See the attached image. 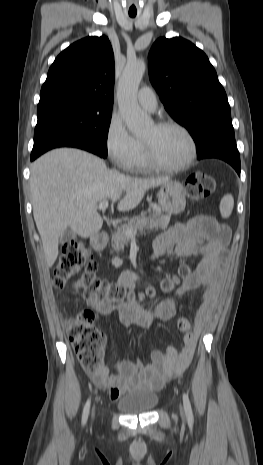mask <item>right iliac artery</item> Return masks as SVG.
<instances>
[{
	"label": "right iliac artery",
	"instance_id": "obj_1",
	"mask_svg": "<svg viewBox=\"0 0 263 465\" xmlns=\"http://www.w3.org/2000/svg\"><path fill=\"white\" fill-rule=\"evenodd\" d=\"M89 409H90V399L87 400L84 410H83V415H82V424L84 425L87 421L88 415H89Z\"/></svg>",
	"mask_w": 263,
	"mask_h": 465
}]
</instances>
